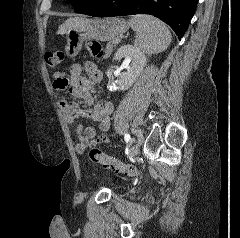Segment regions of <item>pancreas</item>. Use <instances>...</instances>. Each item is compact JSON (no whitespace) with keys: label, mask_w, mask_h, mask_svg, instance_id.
I'll list each match as a JSON object with an SVG mask.
<instances>
[{"label":"pancreas","mask_w":240,"mask_h":238,"mask_svg":"<svg viewBox=\"0 0 240 238\" xmlns=\"http://www.w3.org/2000/svg\"><path fill=\"white\" fill-rule=\"evenodd\" d=\"M119 39H113L112 41H110L107 45H106V48H105V55L103 56L104 59L108 58L112 51H113V47L115 45H117L119 43Z\"/></svg>","instance_id":"1"}]
</instances>
